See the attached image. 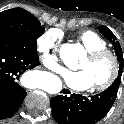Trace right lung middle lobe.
Returning a JSON list of instances; mask_svg holds the SVG:
<instances>
[{"label": "right lung middle lobe", "mask_w": 124, "mask_h": 124, "mask_svg": "<svg viewBox=\"0 0 124 124\" xmlns=\"http://www.w3.org/2000/svg\"><path fill=\"white\" fill-rule=\"evenodd\" d=\"M40 21L21 8H13L0 13V38L25 41L37 48V39L44 32Z\"/></svg>", "instance_id": "obj_1"}]
</instances>
